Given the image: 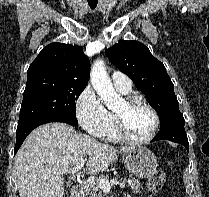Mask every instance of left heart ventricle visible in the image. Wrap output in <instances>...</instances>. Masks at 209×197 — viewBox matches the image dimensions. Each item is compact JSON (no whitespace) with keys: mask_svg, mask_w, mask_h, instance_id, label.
I'll list each match as a JSON object with an SVG mask.
<instances>
[{"mask_svg":"<svg viewBox=\"0 0 209 197\" xmlns=\"http://www.w3.org/2000/svg\"><path fill=\"white\" fill-rule=\"evenodd\" d=\"M115 113L122 117L127 133L133 138H145L153 127V116L142 103L128 106L122 102Z\"/></svg>","mask_w":209,"mask_h":197,"instance_id":"b2bd125f","label":"left heart ventricle"}]
</instances>
